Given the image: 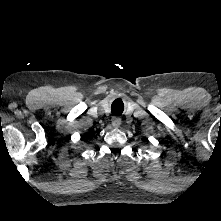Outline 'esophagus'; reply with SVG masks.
I'll use <instances>...</instances> for the list:
<instances>
[{
	"label": "esophagus",
	"instance_id": "1",
	"mask_svg": "<svg viewBox=\"0 0 221 221\" xmlns=\"http://www.w3.org/2000/svg\"><path fill=\"white\" fill-rule=\"evenodd\" d=\"M111 121H112L113 127L115 128H118L121 125V119L119 117H113Z\"/></svg>",
	"mask_w": 221,
	"mask_h": 221
}]
</instances>
